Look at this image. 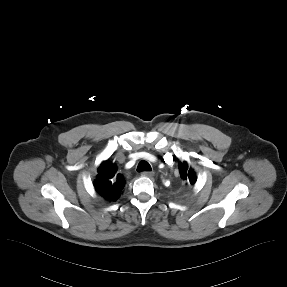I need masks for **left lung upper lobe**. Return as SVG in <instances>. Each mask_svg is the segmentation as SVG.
I'll list each match as a JSON object with an SVG mask.
<instances>
[{
    "label": "left lung upper lobe",
    "instance_id": "1",
    "mask_svg": "<svg viewBox=\"0 0 287 287\" xmlns=\"http://www.w3.org/2000/svg\"><path fill=\"white\" fill-rule=\"evenodd\" d=\"M180 177L186 184H194L196 182V174L192 168L188 167L186 162L179 163Z\"/></svg>",
    "mask_w": 287,
    "mask_h": 287
}]
</instances>
